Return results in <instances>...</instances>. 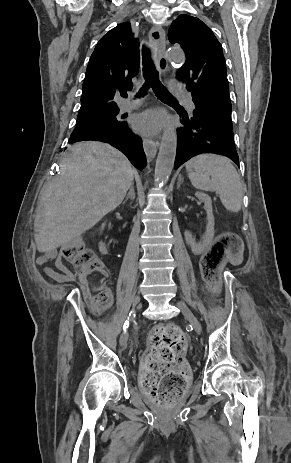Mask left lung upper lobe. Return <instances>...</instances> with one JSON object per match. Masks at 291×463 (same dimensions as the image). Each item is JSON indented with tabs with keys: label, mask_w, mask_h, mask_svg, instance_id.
<instances>
[{
	"label": "left lung upper lobe",
	"mask_w": 291,
	"mask_h": 463,
	"mask_svg": "<svg viewBox=\"0 0 291 463\" xmlns=\"http://www.w3.org/2000/svg\"><path fill=\"white\" fill-rule=\"evenodd\" d=\"M168 38L180 44L186 54L176 76L192 93L194 113L232 126L226 62L212 30L198 18L182 14L173 21Z\"/></svg>",
	"instance_id": "5c2ea615"
}]
</instances>
